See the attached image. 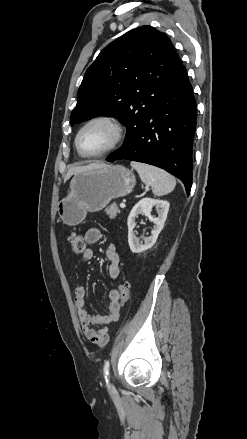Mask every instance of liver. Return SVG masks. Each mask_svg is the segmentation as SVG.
<instances>
[{
	"label": "liver",
	"instance_id": "1",
	"mask_svg": "<svg viewBox=\"0 0 247 439\" xmlns=\"http://www.w3.org/2000/svg\"><path fill=\"white\" fill-rule=\"evenodd\" d=\"M106 166L103 163L100 162H96V163H91L89 165L86 166H78V167H72L68 170L67 175L64 179V182H66L72 175L81 173V172H85V171H89V170H93L96 168H100V167H104Z\"/></svg>",
	"mask_w": 247,
	"mask_h": 439
}]
</instances>
